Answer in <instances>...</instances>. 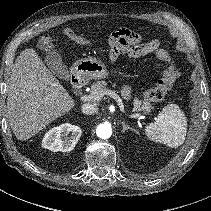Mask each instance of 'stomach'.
<instances>
[{"mask_svg":"<svg viewBox=\"0 0 211 211\" xmlns=\"http://www.w3.org/2000/svg\"><path fill=\"white\" fill-rule=\"evenodd\" d=\"M73 69L77 75L84 76L86 78L102 79L110 75L105 64L94 58H84L77 61ZM120 75V71H113L111 75Z\"/></svg>","mask_w":211,"mask_h":211,"instance_id":"stomach-1","label":"stomach"}]
</instances>
